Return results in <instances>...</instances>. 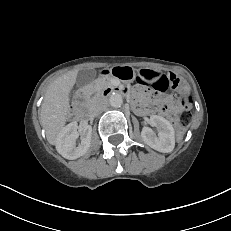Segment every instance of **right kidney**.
<instances>
[{
	"mask_svg": "<svg viewBox=\"0 0 231 231\" xmlns=\"http://www.w3.org/2000/svg\"><path fill=\"white\" fill-rule=\"evenodd\" d=\"M77 128V122H71L58 134L56 149L66 159H77L83 156L90 147L92 128L87 126L80 133L77 131ZM79 135H81V143L76 146V140Z\"/></svg>",
	"mask_w": 231,
	"mask_h": 231,
	"instance_id": "obj_1",
	"label": "right kidney"
}]
</instances>
